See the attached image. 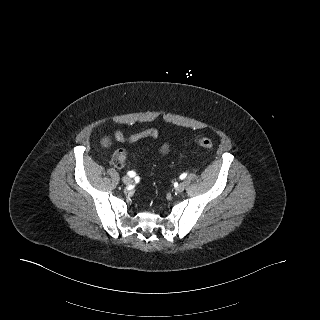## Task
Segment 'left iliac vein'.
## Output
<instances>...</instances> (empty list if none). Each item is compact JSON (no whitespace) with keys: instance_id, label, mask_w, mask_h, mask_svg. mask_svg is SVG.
I'll list each match as a JSON object with an SVG mask.
<instances>
[{"instance_id":"4c4485c4","label":"left iliac vein","mask_w":320,"mask_h":320,"mask_svg":"<svg viewBox=\"0 0 320 320\" xmlns=\"http://www.w3.org/2000/svg\"><path fill=\"white\" fill-rule=\"evenodd\" d=\"M185 189V183L181 182L178 184V186L175 188L176 193H182Z\"/></svg>"}]
</instances>
